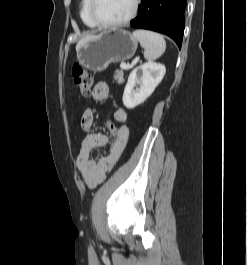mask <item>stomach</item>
<instances>
[{
	"mask_svg": "<svg viewBox=\"0 0 247 265\" xmlns=\"http://www.w3.org/2000/svg\"><path fill=\"white\" fill-rule=\"evenodd\" d=\"M138 40L124 29H109L93 36L76 48L78 62L93 72L104 71L111 63L131 59Z\"/></svg>",
	"mask_w": 247,
	"mask_h": 265,
	"instance_id": "1",
	"label": "stomach"
}]
</instances>
